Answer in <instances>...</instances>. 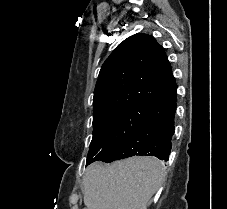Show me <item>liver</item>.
<instances>
[{
	"label": "liver",
	"instance_id": "obj_1",
	"mask_svg": "<svg viewBox=\"0 0 227 209\" xmlns=\"http://www.w3.org/2000/svg\"><path fill=\"white\" fill-rule=\"evenodd\" d=\"M165 167L154 157H129L112 165L92 163L85 171L87 209H147L163 183Z\"/></svg>",
	"mask_w": 227,
	"mask_h": 209
}]
</instances>
